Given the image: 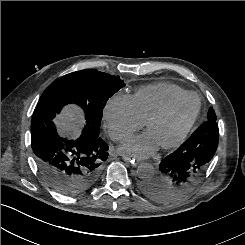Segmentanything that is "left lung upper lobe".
Returning a JSON list of instances; mask_svg holds the SVG:
<instances>
[{"label": "left lung upper lobe", "instance_id": "5c2ea615", "mask_svg": "<svg viewBox=\"0 0 245 245\" xmlns=\"http://www.w3.org/2000/svg\"><path fill=\"white\" fill-rule=\"evenodd\" d=\"M207 121L216 122V115L215 112L213 111V108H210L208 111Z\"/></svg>", "mask_w": 245, "mask_h": 245}]
</instances>
